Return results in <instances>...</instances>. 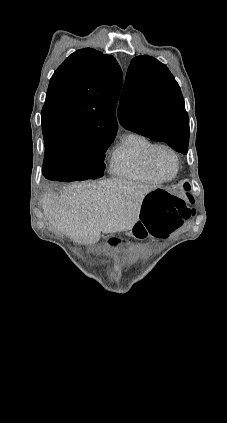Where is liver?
Instances as JSON below:
<instances>
[{
	"mask_svg": "<svg viewBox=\"0 0 227 423\" xmlns=\"http://www.w3.org/2000/svg\"><path fill=\"white\" fill-rule=\"evenodd\" d=\"M157 186L130 180L68 184L60 196L46 194V221L75 243H95L101 233L128 231L139 219L143 200Z\"/></svg>",
	"mask_w": 227,
	"mask_h": 423,
	"instance_id": "1",
	"label": "liver"
}]
</instances>
